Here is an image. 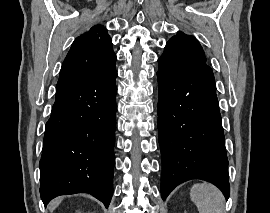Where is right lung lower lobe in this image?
<instances>
[{"mask_svg": "<svg viewBox=\"0 0 270 213\" xmlns=\"http://www.w3.org/2000/svg\"><path fill=\"white\" fill-rule=\"evenodd\" d=\"M117 72L56 92L45 126L40 195L87 192L109 206L113 195Z\"/></svg>", "mask_w": 270, "mask_h": 213, "instance_id": "1", "label": "right lung lower lobe"}]
</instances>
